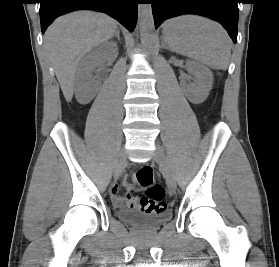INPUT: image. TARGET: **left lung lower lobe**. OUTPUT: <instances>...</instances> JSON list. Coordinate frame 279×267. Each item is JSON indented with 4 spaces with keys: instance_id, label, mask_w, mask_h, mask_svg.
<instances>
[{
    "instance_id": "0a47b994",
    "label": "left lung lower lobe",
    "mask_w": 279,
    "mask_h": 267,
    "mask_svg": "<svg viewBox=\"0 0 279 267\" xmlns=\"http://www.w3.org/2000/svg\"><path fill=\"white\" fill-rule=\"evenodd\" d=\"M237 0H151L154 23L157 28L164 20L182 15L198 14L217 20L237 41Z\"/></svg>"
}]
</instances>
